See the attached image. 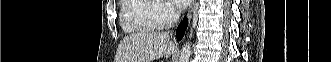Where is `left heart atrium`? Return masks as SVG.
<instances>
[{
  "mask_svg": "<svg viewBox=\"0 0 331 62\" xmlns=\"http://www.w3.org/2000/svg\"><path fill=\"white\" fill-rule=\"evenodd\" d=\"M176 9H184L189 4L190 0H170Z\"/></svg>",
  "mask_w": 331,
  "mask_h": 62,
  "instance_id": "1",
  "label": "left heart atrium"
}]
</instances>
